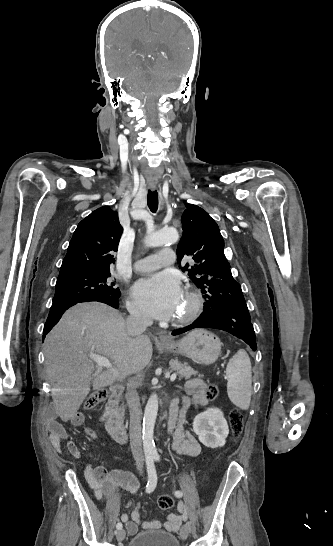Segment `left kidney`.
<instances>
[{
	"label": "left kidney",
	"instance_id": "1",
	"mask_svg": "<svg viewBox=\"0 0 333 546\" xmlns=\"http://www.w3.org/2000/svg\"><path fill=\"white\" fill-rule=\"evenodd\" d=\"M193 430L206 447H223L229 434L228 424L221 410L208 408L193 421Z\"/></svg>",
	"mask_w": 333,
	"mask_h": 546
}]
</instances>
